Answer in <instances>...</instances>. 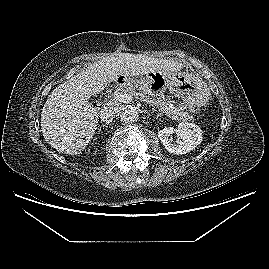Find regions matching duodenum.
Listing matches in <instances>:
<instances>
[{"instance_id": "duodenum-1", "label": "duodenum", "mask_w": 269, "mask_h": 269, "mask_svg": "<svg viewBox=\"0 0 269 269\" xmlns=\"http://www.w3.org/2000/svg\"><path fill=\"white\" fill-rule=\"evenodd\" d=\"M111 90H112V87H108V88H107V93H110Z\"/></svg>"}]
</instances>
